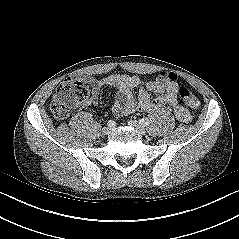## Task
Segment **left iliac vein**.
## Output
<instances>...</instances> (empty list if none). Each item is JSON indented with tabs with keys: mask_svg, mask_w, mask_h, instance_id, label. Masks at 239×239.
<instances>
[{
	"mask_svg": "<svg viewBox=\"0 0 239 239\" xmlns=\"http://www.w3.org/2000/svg\"><path fill=\"white\" fill-rule=\"evenodd\" d=\"M128 124L131 127L135 128L140 134H145L146 133V130H145L144 126L141 125L139 122H137L135 120H129Z\"/></svg>",
	"mask_w": 239,
	"mask_h": 239,
	"instance_id": "4c4485c4",
	"label": "left iliac vein"
}]
</instances>
